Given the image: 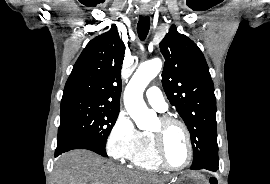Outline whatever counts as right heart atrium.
<instances>
[{
    "mask_svg": "<svg viewBox=\"0 0 270 184\" xmlns=\"http://www.w3.org/2000/svg\"><path fill=\"white\" fill-rule=\"evenodd\" d=\"M140 138L141 132L132 119L125 112H120L106 139L107 153L115 160H128L137 148Z\"/></svg>",
    "mask_w": 270,
    "mask_h": 184,
    "instance_id": "right-heart-atrium-1",
    "label": "right heart atrium"
}]
</instances>
